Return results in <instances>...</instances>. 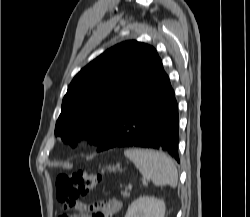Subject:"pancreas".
<instances>
[{
  "label": "pancreas",
  "mask_w": 250,
  "mask_h": 217,
  "mask_svg": "<svg viewBox=\"0 0 250 217\" xmlns=\"http://www.w3.org/2000/svg\"><path fill=\"white\" fill-rule=\"evenodd\" d=\"M121 194L123 195V197H129L130 196V192L128 190L122 191Z\"/></svg>",
  "instance_id": "pancreas-1"
}]
</instances>
